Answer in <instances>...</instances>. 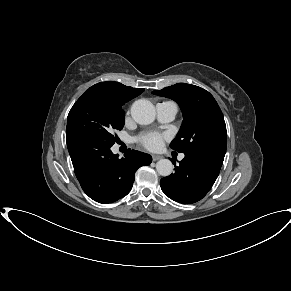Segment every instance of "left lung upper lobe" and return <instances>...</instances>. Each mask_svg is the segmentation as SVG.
Returning <instances> with one entry per match:
<instances>
[{
    "label": "left lung upper lobe",
    "instance_id": "left-lung-upper-lobe-1",
    "mask_svg": "<svg viewBox=\"0 0 291 291\" xmlns=\"http://www.w3.org/2000/svg\"><path fill=\"white\" fill-rule=\"evenodd\" d=\"M152 93L176 101L182 110L184 120L170 144L172 149L189 154L225 156L227 132L224 117L208 91L178 83Z\"/></svg>",
    "mask_w": 291,
    "mask_h": 291
}]
</instances>
